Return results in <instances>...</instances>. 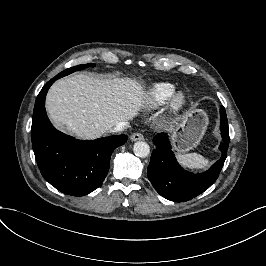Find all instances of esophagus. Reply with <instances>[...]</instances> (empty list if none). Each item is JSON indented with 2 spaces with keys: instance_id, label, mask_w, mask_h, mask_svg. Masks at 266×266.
<instances>
[{
  "instance_id": "34e87169",
  "label": "esophagus",
  "mask_w": 266,
  "mask_h": 266,
  "mask_svg": "<svg viewBox=\"0 0 266 266\" xmlns=\"http://www.w3.org/2000/svg\"><path fill=\"white\" fill-rule=\"evenodd\" d=\"M130 139L132 141H138V140H143L144 139V136L140 133H134L131 135Z\"/></svg>"
}]
</instances>
